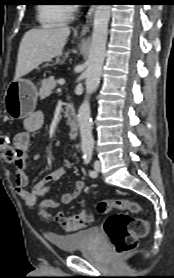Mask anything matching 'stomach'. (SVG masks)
<instances>
[{
  "label": "stomach",
  "mask_w": 174,
  "mask_h": 278,
  "mask_svg": "<svg viewBox=\"0 0 174 278\" xmlns=\"http://www.w3.org/2000/svg\"><path fill=\"white\" fill-rule=\"evenodd\" d=\"M38 91L32 81L20 78L11 81L4 95V107L13 120L24 119L36 108Z\"/></svg>",
  "instance_id": "1"
}]
</instances>
